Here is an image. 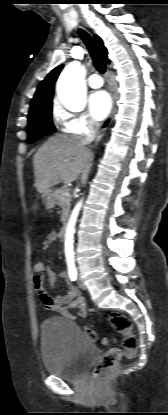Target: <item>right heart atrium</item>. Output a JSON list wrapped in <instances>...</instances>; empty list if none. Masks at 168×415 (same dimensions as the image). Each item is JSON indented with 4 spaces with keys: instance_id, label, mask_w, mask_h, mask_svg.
Here are the masks:
<instances>
[{
    "instance_id": "d8ad5b80",
    "label": "right heart atrium",
    "mask_w": 168,
    "mask_h": 415,
    "mask_svg": "<svg viewBox=\"0 0 168 415\" xmlns=\"http://www.w3.org/2000/svg\"><path fill=\"white\" fill-rule=\"evenodd\" d=\"M54 116L62 131L75 135H90L96 132L98 124L86 112H70L60 105L54 108Z\"/></svg>"
}]
</instances>
